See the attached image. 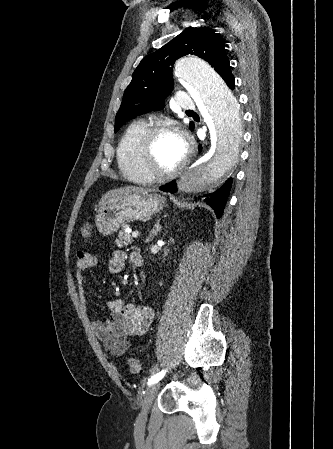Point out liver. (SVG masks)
<instances>
[{
	"instance_id": "6515ba94",
	"label": "liver",
	"mask_w": 333,
	"mask_h": 449,
	"mask_svg": "<svg viewBox=\"0 0 333 449\" xmlns=\"http://www.w3.org/2000/svg\"><path fill=\"white\" fill-rule=\"evenodd\" d=\"M149 190L146 189H141V188H136V187H132V186H125V187H120V188H116V189H112L108 192H106L100 202L99 205L101 206L103 203H105L107 200L113 199V198H117L123 195H128L130 193H148Z\"/></svg>"
}]
</instances>
